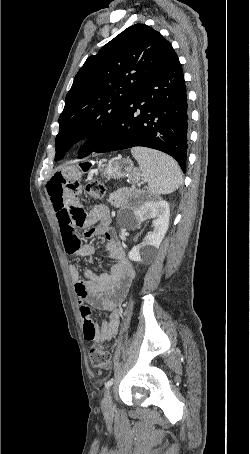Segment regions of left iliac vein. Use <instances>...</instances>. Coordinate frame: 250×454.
I'll return each instance as SVG.
<instances>
[{"label": "left iliac vein", "mask_w": 250, "mask_h": 454, "mask_svg": "<svg viewBox=\"0 0 250 454\" xmlns=\"http://www.w3.org/2000/svg\"><path fill=\"white\" fill-rule=\"evenodd\" d=\"M103 412L110 414L113 411V401L110 390H106L103 397Z\"/></svg>", "instance_id": "4c4485c4"}]
</instances>
